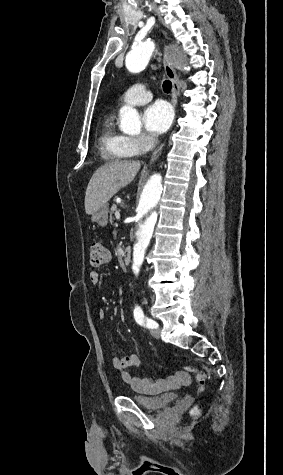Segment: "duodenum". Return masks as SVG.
Wrapping results in <instances>:
<instances>
[{
  "label": "duodenum",
  "mask_w": 283,
  "mask_h": 475,
  "mask_svg": "<svg viewBox=\"0 0 283 475\" xmlns=\"http://www.w3.org/2000/svg\"><path fill=\"white\" fill-rule=\"evenodd\" d=\"M131 257H132V248L130 246H127L123 250V254H122V259L124 263L128 264L131 261Z\"/></svg>",
  "instance_id": "410a0bca"
}]
</instances>
